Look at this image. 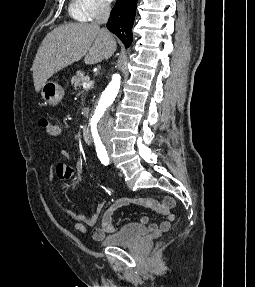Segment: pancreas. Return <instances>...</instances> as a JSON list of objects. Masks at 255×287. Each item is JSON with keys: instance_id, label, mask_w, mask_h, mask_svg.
Here are the masks:
<instances>
[{"instance_id": "cf45deb5", "label": "pancreas", "mask_w": 255, "mask_h": 287, "mask_svg": "<svg viewBox=\"0 0 255 287\" xmlns=\"http://www.w3.org/2000/svg\"><path fill=\"white\" fill-rule=\"evenodd\" d=\"M89 80V76H85V72H80L79 70V72H76V76H73V78H71V84H74V90H79L82 84H84V82H89ZM92 88L93 86L91 84L90 88H84V90L88 92V90H92Z\"/></svg>"}]
</instances>
